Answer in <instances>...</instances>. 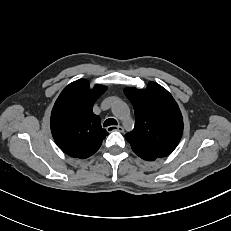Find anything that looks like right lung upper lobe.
Returning a JSON list of instances; mask_svg holds the SVG:
<instances>
[{"label": "right lung upper lobe", "instance_id": "1", "mask_svg": "<svg viewBox=\"0 0 231 231\" xmlns=\"http://www.w3.org/2000/svg\"><path fill=\"white\" fill-rule=\"evenodd\" d=\"M105 86L90 89L85 79L66 86L56 100L51 113V132L58 147L67 155L85 159L100 148L108 132L100 118L92 112L96 99Z\"/></svg>", "mask_w": 231, "mask_h": 231}]
</instances>
